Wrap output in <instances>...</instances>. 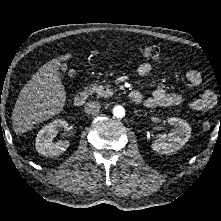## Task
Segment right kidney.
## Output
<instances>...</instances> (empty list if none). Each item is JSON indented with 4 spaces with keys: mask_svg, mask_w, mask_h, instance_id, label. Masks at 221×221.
Segmentation results:
<instances>
[{
    "mask_svg": "<svg viewBox=\"0 0 221 221\" xmlns=\"http://www.w3.org/2000/svg\"><path fill=\"white\" fill-rule=\"evenodd\" d=\"M68 124L65 120H54L48 125L44 126L36 137V150L39 154L46 157H54L65 152L69 146L68 141L53 142L54 134L60 128H67Z\"/></svg>",
    "mask_w": 221,
    "mask_h": 221,
    "instance_id": "1",
    "label": "right kidney"
}]
</instances>
